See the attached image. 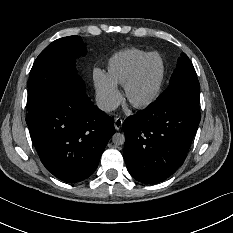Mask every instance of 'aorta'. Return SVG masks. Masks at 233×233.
Here are the masks:
<instances>
[{
    "label": "aorta",
    "instance_id": "aorta-1",
    "mask_svg": "<svg viewBox=\"0 0 233 233\" xmlns=\"http://www.w3.org/2000/svg\"><path fill=\"white\" fill-rule=\"evenodd\" d=\"M112 142L116 145H123L125 142V136L121 133H115L112 136Z\"/></svg>",
    "mask_w": 233,
    "mask_h": 233
}]
</instances>
